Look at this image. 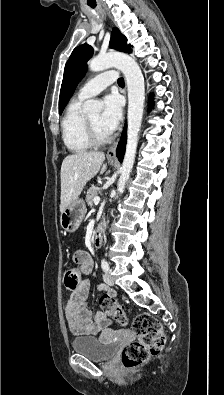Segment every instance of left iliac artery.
Wrapping results in <instances>:
<instances>
[{
  "mask_svg": "<svg viewBox=\"0 0 224 395\" xmlns=\"http://www.w3.org/2000/svg\"><path fill=\"white\" fill-rule=\"evenodd\" d=\"M101 267H102L103 271H105V272L109 271V264L105 259H102Z\"/></svg>",
  "mask_w": 224,
  "mask_h": 395,
  "instance_id": "1",
  "label": "left iliac artery"
}]
</instances>
